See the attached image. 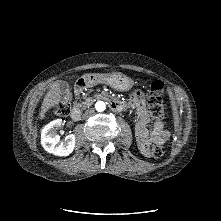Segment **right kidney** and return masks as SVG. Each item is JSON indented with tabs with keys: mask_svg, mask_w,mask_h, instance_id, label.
<instances>
[{
	"mask_svg": "<svg viewBox=\"0 0 221 221\" xmlns=\"http://www.w3.org/2000/svg\"><path fill=\"white\" fill-rule=\"evenodd\" d=\"M62 125V119H56L47 124L41 132V144L43 148L56 156H68L75 147V136L70 134L64 140H60L57 130Z\"/></svg>",
	"mask_w": 221,
	"mask_h": 221,
	"instance_id": "1",
	"label": "right kidney"
}]
</instances>
